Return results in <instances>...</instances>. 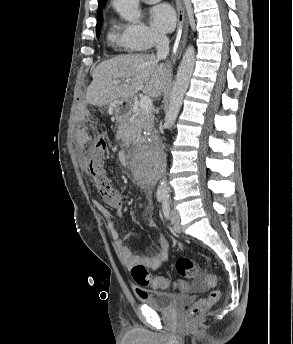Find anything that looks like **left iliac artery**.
Returning a JSON list of instances; mask_svg holds the SVG:
<instances>
[{"instance_id":"obj_1","label":"left iliac artery","mask_w":293,"mask_h":344,"mask_svg":"<svg viewBox=\"0 0 293 344\" xmlns=\"http://www.w3.org/2000/svg\"><path fill=\"white\" fill-rule=\"evenodd\" d=\"M162 209H163V213H164V216L166 218L169 217V211H170V207H169V202H168V199L165 198L162 202Z\"/></svg>"}]
</instances>
